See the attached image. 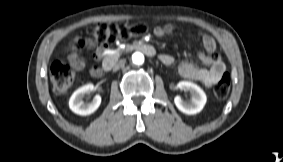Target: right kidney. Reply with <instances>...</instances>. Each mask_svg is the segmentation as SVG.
I'll use <instances>...</instances> for the list:
<instances>
[{
  "mask_svg": "<svg viewBox=\"0 0 283 162\" xmlns=\"http://www.w3.org/2000/svg\"><path fill=\"white\" fill-rule=\"evenodd\" d=\"M94 85L89 83L77 89L69 100L70 109L78 115H90L95 112L101 104V97L96 95L92 102L84 103L83 97L86 93L92 92Z\"/></svg>",
  "mask_w": 283,
  "mask_h": 162,
  "instance_id": "right-kidney-1",
  "label": "right kidney"
}]
</instances>
